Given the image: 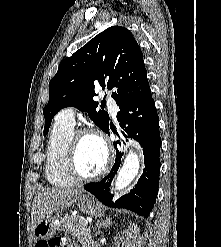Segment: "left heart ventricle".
<instances>
[{"mask_svg": "<svg viewBox=\"0 0 221 247\" xmlns=\"http://www.w3.org/2000/svg\"><path fill=\"white\" fill-rule=\"evenodd\" d=\"M106 161V152L102 142L91 135L80 139L77 150V164L80 172L91 176L98 173Z\"/></svg>", "mask_w": 221, "mask_h": 247, "instance_id": "b2bd125f", "label": "left heart ventricle"}]
</instances>
